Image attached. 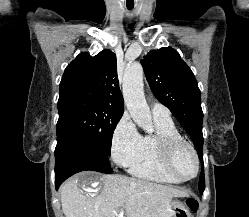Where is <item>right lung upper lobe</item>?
I'll list each match as a JSON object with an SVG mask.
<instances>
[{
  "label": "right lung upper lobe",
  "mask_w": 249,
  "mask_h": 217,
  "mask_svg": "<svg viewBox=\"0 0 249 217\" xmlns=\"http://www.w3.org/2000/svg\"><path fill=\"white\" fill-rule=\"evenodd\" d=\"M60 97H81L124 110L119 89L116 55L103 50L95 56L80 53L65 69L59 86Z\"/></svg>",
  "instance_id": "obj_1"
}]
</instances>
